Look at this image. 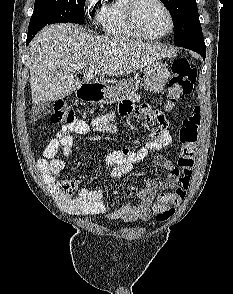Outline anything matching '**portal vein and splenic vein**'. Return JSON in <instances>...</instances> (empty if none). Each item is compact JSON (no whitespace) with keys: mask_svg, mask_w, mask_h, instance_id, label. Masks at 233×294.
Segmentation results:
<instances>
[{"mask_svg":"<svg viewBox=\"0 0 233 294\" xmlns=\"http://www.w3.org/2000/svg\"><path fill=\"white\" fill-rule=\"evenodd\" d=\"M86 66L85 62H79L77 65L74 66L75 70H81Z\"/></svg>","mask_w":233,"mask_h":294,"instance_id":"obj_1","label":"portal vein and splenic vein"}]
</instances>
